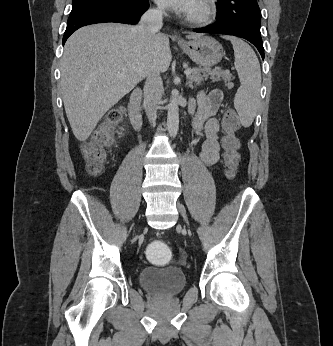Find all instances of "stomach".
<instances>
[{
  "label": "stomach",
  "instance_id": "obj_1",
  "mask_svg": "<svg viewBox=\"0 0 333 346\" xmlns=\"http://www.w3.org/2000/svg\"><path fill=\"white\" fill-rule=\"evenodd\" d=\"M179 45L184 53L204 68L218 64L224 56L222 45L212 37L204 36Z\"/></svg>",
  "mask_w": 333,
  "mask_h": 346
}]
</instances>
